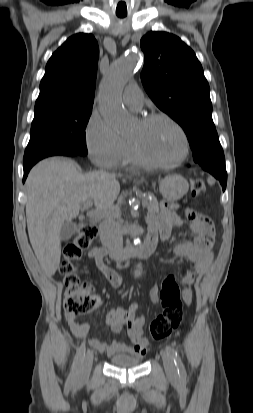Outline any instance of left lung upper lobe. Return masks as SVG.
Returning <instances> with one entry per match:
<instances>
[{"mask_svg":"<svg viewBox=\"0 0 253 413\" xmlns=\"http://www.w3.org/2000/svg\"><path fill=\"white\" fill-rule=\"evenodd\" d=\"M145 55L143 86L153 102L185 131L201 167L224 165L212 120L209 84L195 53L179 37L149 32L140 41Z\"/></svg>","mask_w":253,"mask_h":413,"instance_id":"1","label":"left lung upper lobe"}]
</instances>
